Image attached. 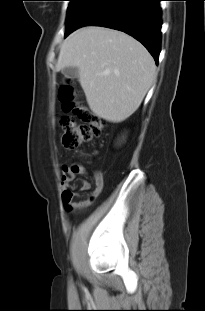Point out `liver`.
<instances>
[{"mask_svg": "<svg viewBox=\"0 0 205 311\" xmlns=\"http://www.w3.org/2000/svg\"><path fill=\"white\" fill-rule=\"evenodd\" d=\"M65 67H78L90 109L114 123L138 109L156 69L150 53L133 37L97 26L80 28L65 39L55 68Z\"/></svg>", "mask_w": 205, "mask_h": 311, "instance_id": "liver-1", "label": "liver"}]
</instances>
